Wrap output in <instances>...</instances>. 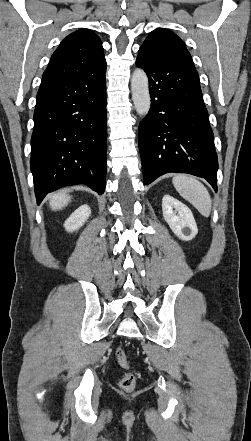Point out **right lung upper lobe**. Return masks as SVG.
Returning a JSON list of instances; mask_svg holds the SVG:
<instances>
[{
	"label": "right lung upper lobe",
	"mask_w": 251,
	"mask_h": 441,
	"mask_svg": "<svg viewBox=\"0 0 251 441\" xmlns=\"http://www.w3.org/2000/svg\"><path fill=\"white\" fill-rule=\"evenodd\" d=\"M106 67L101 40L89 29L68 35L53 53L42 78H72Z\"/></svg>",
	"instance_id": "1"
}]
</instances>
